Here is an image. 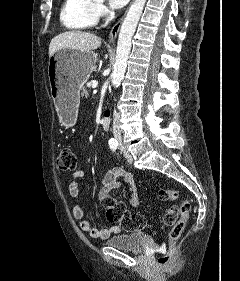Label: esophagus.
I'll return each instance as SVG.
<instances>
[{
    "label": "esophagus",
    "instance_id": "obj_1",
    "mask_svg": "<svg viewBox=\"0 0 240 281\" xmlns=\"http://www.w3.org/2000/svg\"><path fill=\"white\" fill-rule=\"evenodd\" d=\"M127 12V11H126ZM126 12L125 14L116 22V24L112 27V29L110 30V33H109V42L112 43L115 41V39L117 38V35L119 33V30H120V27H121V24L124 20V17L126 15Z\"/></svg>",
    "mask_w": 240,
    "mask_h": 281
}]
</instances>
